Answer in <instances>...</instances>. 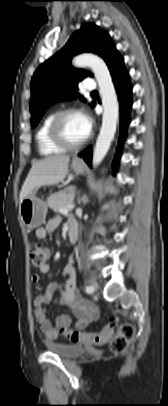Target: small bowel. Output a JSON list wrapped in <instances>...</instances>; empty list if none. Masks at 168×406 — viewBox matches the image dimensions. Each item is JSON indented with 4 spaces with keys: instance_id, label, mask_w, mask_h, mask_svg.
Masks as SVG:
<instances>
[{
    "instance_id": "c3829d8e",
    "label": "small bowel",
    "mask_w": 168,
    "mask_h": 406,
    "mask_svg": "<svg viewBox=\"0 0 168 406\" xmlns=\"http://www.w3.org/2000/svg\"><path fill=\"white\" fill-rule=\"evenodd\" d=\"M70 221L74 220L71 219L69 222ZM59 223V217L56 216L52 218L44 227L36 230V236L39 239H45L48 234L59 225ZM49 270V264L40 267L42 273H47ZM63 275L67 276L66 287L64 290H62L57 283L53 282L49 284L47 290L43 294L36 296L33 300L36 322L49 339H57L60 336V328L68 327L71 324L70 316L66 313L57 315L53 324L46 316V305L54 299L56 292H59L60 294V303L71 308L76 318L75 326L77 328H84L99 317L97 306L93 302L82 298L79 293L77 273L73 259H70L69 263L65 266ZM31 280L33 283L37 284L40 282L41 277L39 274H34L32 275Z\"/></svg>"
}]
</instances>
